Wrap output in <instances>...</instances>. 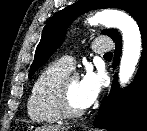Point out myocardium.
<instances>
[{
  "label": "myocardium",
  "mask_w": 147,
  "mask_h": 131,
  "mask_svg": "<svg viewBox=\"0 0 147 131\" xmlns=\"http://www.w3.org/2000/svg\"><path fill=\"white\" fill-rule=\"evenodd\" d=\"M78 78L79 76L77 73L69 72L61 77L54 87V103L62 118H78L85 113L84 108L75 109L70 105L68 100V85L72 80Z\"/></svg>",
  "instance_id": "myocardium-1"
}]
</instances>
